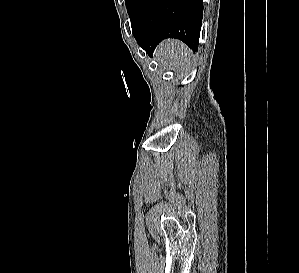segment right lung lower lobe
<instances>
[{
    "label": "right lung lower lobe",
    "instance_id": "obj_1",
    "mask_svg": "<svg viewBox=\"0 0 299 273\" xmlns=\"http://www.w3.org/2000/svg\"><path fill=\"white\" fill-rule=\"evenodd\" d=\"M129 16L134 37L150 57L165 38L180 39L197 50L202 0H135Z\"/></svg>",
    "mask_w": 299,
    "mask_h": 273
}]
</instances>
